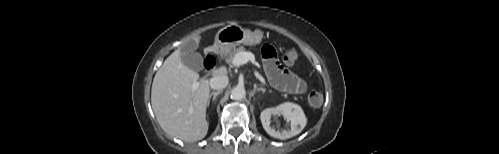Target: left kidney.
<instances>
[{"mask_svg":"<svg viewBox=\"0 0 499 154\" xmlns=\"http://www.w3.org/2000/svg\"><path fill=\"white\" fill-rule=\"evenodd\" d=\"M276 114L283 115L288 121H290V130L276 131L274 128H271V116ZM260 119L263 128L270 136L282 140L291 138L299 134L307 123V119L302 108L299 105L291 102H286L278 105L275 108H267L263 110L260 114Z\"/></svg>","mask_w":499,"mask_h":154,"instance_id":"1","label":"left kidney"}]
</instances>
